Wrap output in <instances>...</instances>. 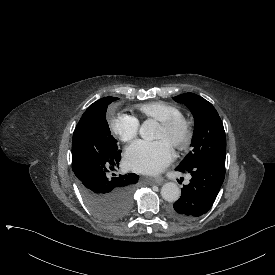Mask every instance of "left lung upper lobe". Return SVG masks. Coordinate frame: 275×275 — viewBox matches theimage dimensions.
I'll return each mask as SVG.
<instances>
[{"instance_id":"obj_1","label":"left lung upper lobe","mask_w":275,"mask_h":275,"mask_svg":"<svg viewBox=\"0 0 275 275\" xmlns=\"http://www.w3.org/2000/svg\"><path fill=\"white\" fill-rule=\"evenodd\" d=\"M185 104L195 119L193 152H190L179 167H190L198 162L219 160L225 162L226 138L222 121L213 105L194 93H185L173 98Z\"/></svg>"}]
</instances>
